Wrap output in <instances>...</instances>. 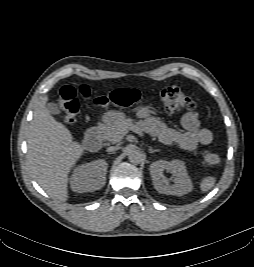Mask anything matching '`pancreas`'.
I'll return each mask as SVG.
<instances>
[{
	"mask_svg": "<svg viewBox=\"0 0 254 267\" xmlns=\"http://www.w3.org/2000/svg\"><path fill=\"white\" fill-rule=\"evenodd\" d=\"M133 125V120L123 119L116 120L102 128V138L116 143L128 132V129Z\"/></svg>",
	"mask_w": 254,
	"mask_h": 267,
	"instance_id": "pancreas-1",
	"label": "pancreas"
}]
</instances>
